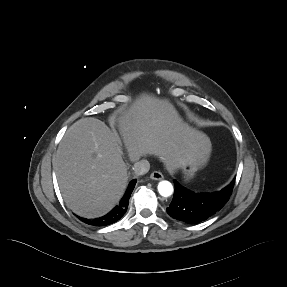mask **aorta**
I'll list each match as a JSON object with an SVG mask.
<instances>
[{
	"label": "aorta",
	"mask_w": 287,
	"mask_h": 287,
	"mask_svg": "<svg viewBox=\"0 0 287 287\" xmlns=\"http://www.w3.org/2000/svg\"><path fill=\"white\" fill-rule=\"evenodd\" d=\"M158 192L161 196L163 197H169L173 194V185L167 181V180H163V181H160L158 183Z\"/></svg>",
	"instance_id": "762f6f07"
}]
</instances>
